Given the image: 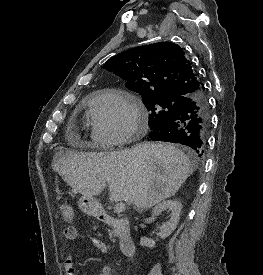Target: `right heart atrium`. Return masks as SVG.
<instances>
[{
    "instance_id": "d8ad5b80",
    "label": "right heart atrium",
    "mask_w": 263,
    "mask_h": 275,
    "mask_svg": "<svg viewBox=\"0 0 263 275\" xmlns=\"http://www.w3.org/2000/svg\"><path fill=\"white\" fill-rule=\"evenodd\" d=\"M94 139L107 146L123 144L134 138L145 124L138 102L117 90H104L92 99Z\"/></svg>"
}]
</instances>
